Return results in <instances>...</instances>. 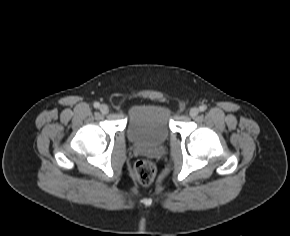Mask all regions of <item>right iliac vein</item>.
Segmentation results:
<instances>
[{
	"mask_svg": "<svg viewBox=\"0 0 290 236\" xmlns=\"http://www.w3.org/2000/svg\"><path fill=\"white\" fill-rule=\"evenodd\" d=\"M99 110L102 114H107L109 112V107L106 104H102L99 107Z\"/></svg>",
	"mask_w": 290,
	"mask_h": 236,
	"instance_id": "63e3f726",
	"label": "right iliac vein"
}]
</instances>
